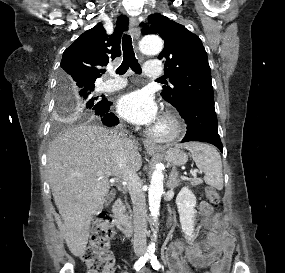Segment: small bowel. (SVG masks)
Segmentation results:
<instances>
[{
	"label": "small bowel",
	"instance_id": "small-bowel-1",
	"mask_svg": "<svg viewBox=\"0 0 285 273\" xmlns=\"http://www.w3.org/2000/svg\"><path fill=\"white\" fill-rule=\"evenodd\" d=\"M199 212L203 215L202 226L208 231L203 243L184 244L174 242L167 252V273H183L180 256L197 268L211 267L212 273H226L232 258L234 240L226 235V224L220 215L214 214L211 205L205 201L200 202ZM140 273H150L147 269Z\"/></svg>",
	"mask_w": 285,
	"mask_h": 273
}]
</instances>
